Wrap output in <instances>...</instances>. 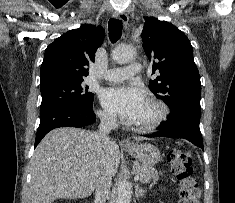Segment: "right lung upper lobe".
<instances>
[{"instance_id": "1", "label": "right lung upper lobe", "mask_w": 235, "mask_h": 203, "mask_svg": "<svg viewBox=\"0 0 235 203\" xmlns=\"http://www.w3.org/2000/svg\"><path fill=\"white\" fill-rule=\"evenodd\" d=\"M101 26L83 24L57 38L45 50L40 85L63 80H80L88 75V66L104 40Z\"/></svg>"}]
</instances>
